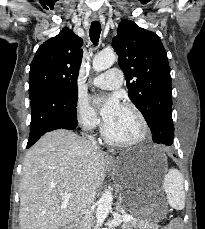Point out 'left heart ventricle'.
I'll return each instance as SVG.
<instances>
[{"mask_svg": "<svg viewBox=\"0 0 205 229\" xmlns=\"http://www.w3.org/2000/svg\"><path fill=\"white\" fill-rule=\"evenodd\" d=\"M106 124L109 135L115 139H131L139 133V122L135 114L122 106Z\"/></svg>", "mask_w": 205, "mask_h": 229, "instance_id": "obj_1", "label": "left heart ventricle"}]
</instances>
